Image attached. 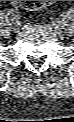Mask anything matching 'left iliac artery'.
<instances>
[{
	"label": "left iliac artery",
	"mask_w": 74,
	"mask_h": 122,
	"mask_svg": "<svg viewBox=\"0 0 74 122\" xmlns=\"http://www.w3.org/2000/svg\"><path fill=\"white\" fill-rule=\"evenodd\" d=\"M63 22L62 21H59V26L62 27L63 26Z\"/></svg>",
	"instance_id": "left-iliac-artery-1"
}]
</instances>
